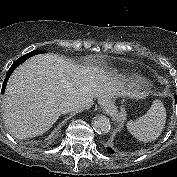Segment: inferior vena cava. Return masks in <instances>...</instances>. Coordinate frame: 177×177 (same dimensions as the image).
Masks as SVG:
<instances>
[{
  "instance_id": "inferior-vena-cava-1",
  "label": "inferior vena cava",
  "mask_w": 177,
  "mask_h": 177,
  "mask_svg": "<svg viewBox=\"0 0 177 177\" xmlns=\"http://www.w3.org/2000/svg\"><path fill=\"white\" fill-rule=\"evenodd\" d=\"M80 107V102L78 100H73V99H67L64 100L60 106H59V111L62 114H66L72 111H76Z\"/></svg>"
}]
</instances>
